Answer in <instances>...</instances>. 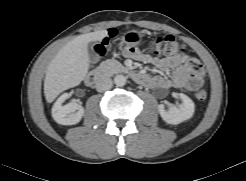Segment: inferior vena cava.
<instances>
[{
    "instance_id": "602c4592",
    "label": "inferior vena cava",
    "mask_w": 246,
    "mask_h": 181,
    "mask_svg": "<svg viewBox=\"0 0 246 181\" xmlns=\"http://www.w3.org/2000/svg\"><path fill=\"white\" fill-rule=\"evenodd\" d=\"M96 90L98 92H104L112 88V80L110 77L102 76L96 81Z\"/></svg>"
}]
</instances>
